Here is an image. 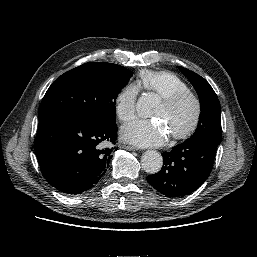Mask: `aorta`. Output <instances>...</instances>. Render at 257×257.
I'll list each match as a JSON object with an SVG mask.
<instances>
[{"label": "aorta", "mask_w": 257, "mask_h": 257, "mask_svg": "<svg viewBox=\"0 0 257 257\" xmlns=\"http://www.w3.org/2000/svg\"><path fill=\"white\" fill-rule=\"evenodd\" d=\"M158 97L155 93H144L136 103L137 113L141 117H148L152 109L156 106ZM142 168L145 172L155 174L159 172L163 165L161 154L155 150L146 151L141 158Z\"/></svg>", "instance_id": "762f6f07"}]
</instances>
